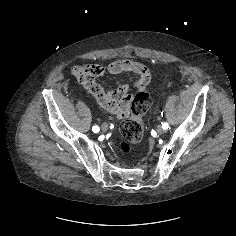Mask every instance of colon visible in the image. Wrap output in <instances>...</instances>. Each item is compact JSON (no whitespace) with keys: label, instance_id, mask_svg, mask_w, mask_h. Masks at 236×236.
<instances>
[{"label":"colon","instance_id":"obj_1","mask_svg":"<svg viewBox=\"0 0 236 236\" xmlns=\"http://www.w3.org/2000/svg\"><path fill=\"white\" fill-rule=\"evenodd\" d=\"M149 85L137 91L134 100L130 104V110L121 123L122 140L119 144L123 155L129 157L133 154L134 146L139 143L143 137L142 119L150 106V96L148 93Z\"/></svg>","mask_w":236,"mask_h":236}]
</instances>
